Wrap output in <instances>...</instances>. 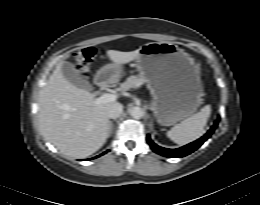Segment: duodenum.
<instances>
[{"mask_svg":"<svg viewBox=\"0 0 260 205\" xmlns=\"http://www.w3.org/2000/svg\"><path fill=\"white\" fill-rule=\"evenodd\" d=\"M96 80L100 88L106 89L110 87V82L105 77L99 75Z\"/></svg>","mask_w":260,"mask_h":205,"instance_id":"410a0bca","label":"duodenum"}]
</instances>
